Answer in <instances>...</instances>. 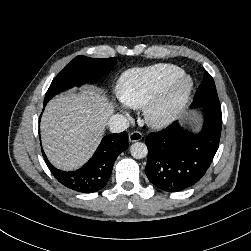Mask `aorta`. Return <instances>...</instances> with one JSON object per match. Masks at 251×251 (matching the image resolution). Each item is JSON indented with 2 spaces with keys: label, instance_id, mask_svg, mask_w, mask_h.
<instances>
[{
  "label": "aorta",
  "instance_id": "aorta-1",
  "mask_svg": "<svg viewBox=\"0 0 251 251\" xmlns=\"http://www.w3.org/2000/svg\"><path fill=\"white\" fill-rule=\"evenodd\" d=\"M131 155L136 159H142L147 156L148 149L146 144L142 142H135L130 147Z\"/></svg>",
  "mask_w": 251,
  "mask_h": 251
}]
</instances>
